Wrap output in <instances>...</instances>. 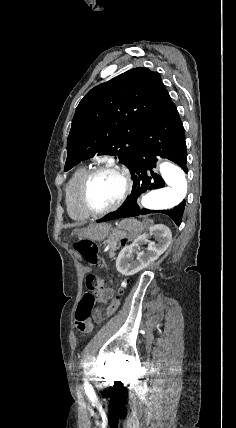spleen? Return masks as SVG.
<instances>
[{
    "mask_svg": "<svg viewBox=\"0 0 236 428\" xmlns=\"http://www.w3.org/2000/svg\"><path fill=\"white\" fill-rule=\"evenodd\" d=\"M119 228H121V230H127V232H135V234H140V232L143 230L141 222H138V220H133V218L122 220Z\"/></svg>",
    "mask_w": 236,
    "mask_h": 428,
    "instance_id": "1",
    "label": "spleen"
}]
</instances>
